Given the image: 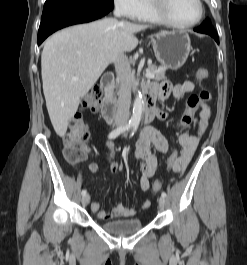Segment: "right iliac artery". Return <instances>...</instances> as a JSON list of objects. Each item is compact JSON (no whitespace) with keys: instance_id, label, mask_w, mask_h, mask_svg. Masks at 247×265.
<instances>
[{"instance_id":"1","label":"right iliac artery","mask_w":247,"mask_h":265,"mask_svg":"<svg viewBox=\"0 0 247 265\" xmlns=\"http://www.w3.org/2000/svg\"><path fill=\"white\" fill-rule=\"evenodd\" d=\"M133 126H134L133 124L129 123V124L125 125V126H122V127L117 128V129H114L113 131H111L109 133V138L110 139H114L117 136H119L122 132H124L126 130H129ZM86 193H87L86 190H82V193L81 194L84 196V195H86Z\"/></svg>"}]
</instances>
